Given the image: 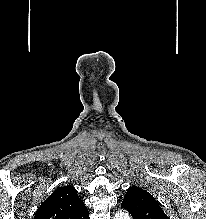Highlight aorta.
Listing matches in <instances>:
<instances>
[{
  "label": "aorta",
  "mask_w": 206,
  "mask_h": 219,
  "mask_svg": "<svg viewBox=\"0 0 206 219\" xmlns=\"http://www.w3.org/2000/svg\"><path fill=\"white\" fill-rule=\"evenodd\" d=\"M113 219H131V218L128 215V213L124 211H118L117 213H115Z\"/></svg>",
  "instance_id": "762f6f07"
}]
</instances>
